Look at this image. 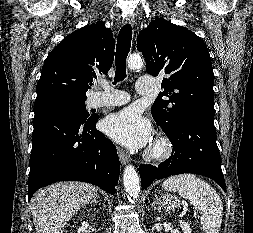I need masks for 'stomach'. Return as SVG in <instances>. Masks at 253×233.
<instances>
[{
    "label": "stomach",
    "mask_w": 253,
    "mask_h": 233,
    "mask_svg": "<svg viewBox=\"0 0 253 233\" xmlns=\"http://www.w3.org/2000/svg\"><path fill=\"white\" fill-rule=\"evenodd\" d=\"M156 197V203L159 205L160 209H164L166 211L174 210L179 206V200L170 194H161Z\"/></svg>",
    "instance_id": "0dacf381"
}]
</instances>
